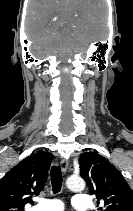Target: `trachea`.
<instances>
[{
    "label": "trachea",
    "instance_id": "trachea-1",
    "mask_svg": "<svg viewBox=\"0 0 133 211\" xmlns=\"http://www.w3.org/2000/svg\"><path fill=\"white\" fill-rule=\"evenodd\" d=\"M51 184L53 188V193H58L62 187V173L60 166H53L51 168Z\"/></svg>",
    "mask_w": 133,
    "mask_h": 211
}]
</instances>
